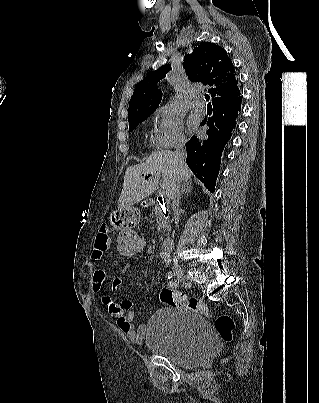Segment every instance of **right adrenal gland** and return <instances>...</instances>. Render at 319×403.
<instances>
[{"label":"right adrenal gland","mask_w":319,"mask_h":403,"mask_svg":"<svg viewBox=\"0 0 319 403\" xmlns=\"http://www.w3.org/2000/svg\"><path fill=\"white\" fill-rule=\"evenodd\" d=\"M192 189H193L192 182H186V183H184L183 186H182L180 195H179V199H181V198L183 197V194H184L185 192H187V193H188V192H191Z\"/></svg>","instance_id":"1"}]
</instances>
